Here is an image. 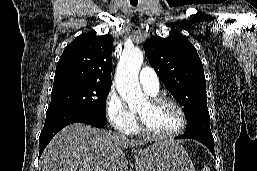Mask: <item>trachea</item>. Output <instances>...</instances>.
<instances>
[{"label": "trachea", "instance_id": "trachea-1", "mask_svg": "<svg viewBox=\"0 0 257 171\" xmlns=\"http://www.w3.org/2000/svg\"><path fill=\"white\" fill-rule=\"evenodd\" d=\"M131 5L135 7V6H137V3H131Z\"/></svg>", "mask_w": 257, "mask_h": 171}]
</instances>
